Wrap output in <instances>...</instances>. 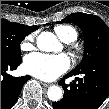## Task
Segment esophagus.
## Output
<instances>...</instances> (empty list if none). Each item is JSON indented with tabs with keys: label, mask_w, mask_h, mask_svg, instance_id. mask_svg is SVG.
<instances>
[{
	"label": "esophagus",
	"mask_w": 109,
	"mask_h": 109,
	"mask_svg": "<svg viewBox=\"0 0 109 109\" xmlns=\"http://www.w3.org/2000/svg\"><path fill=\"white\" fill-rule=\"evenodd\" d=\"M42 85H43L44 87H46V88L49 87V86H51V84H49V83H43Z\"/></svg>",
	"instance_id": "obj_1"
}]
</instances>
